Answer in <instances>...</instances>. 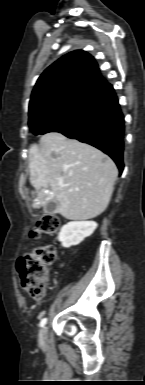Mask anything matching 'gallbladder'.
<instances>
[{"mask_svg":"<svg viewBox=\"0 0 145 385\" xmlns=\"http://www.w3.org/2000/svg\"><path fill=\"white\" fill-rule=\"evenodd\" d=\"M57 203L54 202V201H50V202H47L44 206H43V211L47 214H54L57 212Z\"/></svg>","mask_w":145,"mask_h":385,"instance_id":"bac80fb5","label":"gallbladder"}]
</instances>
